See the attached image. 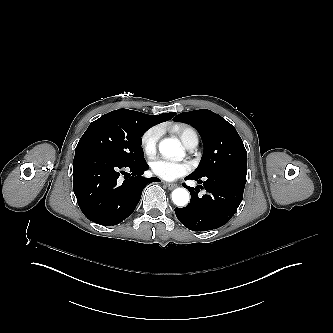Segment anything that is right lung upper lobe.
I'll return each mask as SVG.
<instances>
[{"instance_id": "obj_1", "label": "right lung upper lobe", "mask_w": 333, "mask_h": 333, "mask_svg": "<svg viewBox=\"0 0 333 333\" xmlns=\"http://www.w3.org/2000/svg\"><path fill=\"white\" fill-rule=\"evenodd\" d=\"M118 110L135 114L139 118L145 120L151 127L158 123L170 120L176 114V113H163L159 115H147L144 113H140L138 111H132L128 109H118Z\"/></svg>"}]
</instances>
